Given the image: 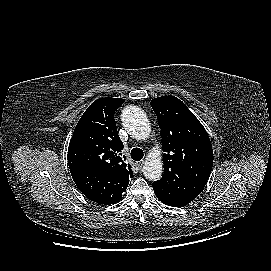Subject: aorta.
Instances as JSON below:
<instances>
[{
  "label": "aorta",
  "mask_w": 271,
  "mask_h": 271,
  "mask_svg": "<svg viewBox=\"0 0 271 271\" xmlns=\"http://www.w3.org/2000/svg\"><path fill=\"white\" fill-rule=\"evenodd\" d=\"M121 120L127 132L137 140L149 137L150 123L145 113L137 106H127L123 109ZM163 172V163L156 156H149L143 166V174L149 180H157Z\"/></svg>",
  "instance_id": "obj_1"
}]
</instances>
